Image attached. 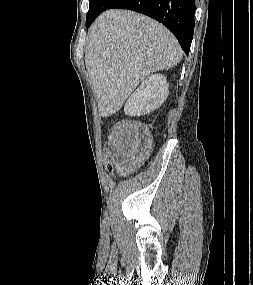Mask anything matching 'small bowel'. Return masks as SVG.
Returning <instances> with one entry per match:
<instances>
[{
	"instance_id": "small-bowel-1",
	"label": "small bowel",
	"mask_w": 253,
	"mask_h": 285,
	"mask_svg": "<svg viewBox=\"0 0 253 285\" xmlns=\"http://www.w3.org/2000/svg\"><path fill=\"white\" fill-rule=\"evenodd\" d=\"M130 148H129V146H122L121 147V151L125 154V155H128L129 154V152H130Z\"/></svg>"
}]
</instances>
